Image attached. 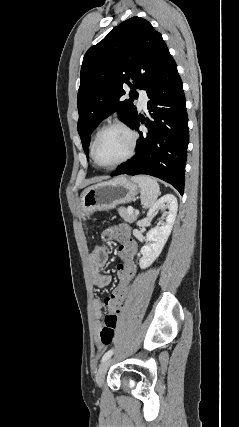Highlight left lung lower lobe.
Wrapping results in <instances>:
<instances>
[{
  "mask_svg": "<svg viewBox=\"0 0 239 427\" xmlns=\"http://www.w3.org/2000/svg\"><path fill=\"white\" fill-rule=\"evenodd\" d=\"M148 117L137 114L130 127L145 124L148 133H140L135 156L111 176L147 174L173 185L184 192V168L189 142L186 101L175 61L146 89Z\"/></svg>",
  "mask_w": 239,
  "mask_h": 427,
  "instance_id": "obj_1",
  "label": "left lung lower lobe"
}]
</instances>
